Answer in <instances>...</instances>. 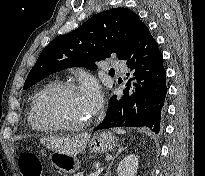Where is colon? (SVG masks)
Returning <instances> with one entry per match:
<instances>
[{"mask_svg": "<svg viewBox=\"0 0 205 176\" xmlns=\"http://www.w3.org/2000/svg\"><path fill=\"white\" fill-rule=\"evenodd\" d=\"M22 176H42L43 166L40 159L32 153H22L18 159Z\"/></svg>", "mask_w": 205, "mask_h": 176, "instance_id": "obj_1", "label": "colon"}]
</instances>
